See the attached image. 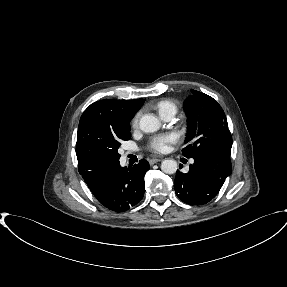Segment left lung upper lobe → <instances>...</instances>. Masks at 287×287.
Listing matches in <instances>:
<instances>
[{
  "mask_svg": "<svg viewBox=\"0 0 287 287\" xmlns=\"http://www.w3.org/2000/svg\"><path fill=\"white\" fill-rule=\"evenodd\" d=\"M184 101L188 117L187 146L182 153L187 158L210 152L231 153L232 136L225 113L215 99L202 92L191 90Z\"/></svg>",
  "mask_w": 287,
  "mask_h": 287,
  "instance_id": "obj_1",
  "label": "left lung upper lobe"
}]
</instances>
